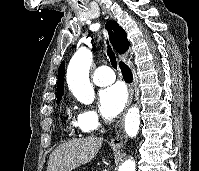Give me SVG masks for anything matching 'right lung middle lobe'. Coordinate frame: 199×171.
<instances>
[{"label":"right lung middle lobe","instance_id":"right-lung-middle-lobe-1","mask_svg":"<svg viewBox=\"0 0 199 171\" xmlns=\"http://www.w3.org/2000/svg\"><path fill=\"white\" fill-rule=\"evenodd\" d=\"M60 101H61V99H57V104H59Z\"/></svg>","mask_w":199,"mask_h":171}]
</instances>
